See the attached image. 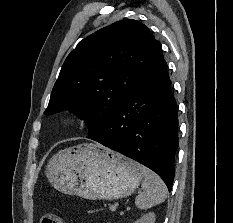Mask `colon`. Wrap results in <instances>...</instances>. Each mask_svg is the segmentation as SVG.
Returning <instances> with one entry per match:
<instances>
[{"label": "colon", "instance_id": "5ec220e1", "mask_svg": "<svg viewBox=\"0 0 233 223\" xmlns=\"http://www.w3.org/2000/svg\"><path fill=\"white\" fill-rule=\"evenodd\" d=\"M40 223H65V221L61 216L46 214L41 218Z\"/></svg>", "mask_w": 233, "mask_h": 223}]
</instances>
